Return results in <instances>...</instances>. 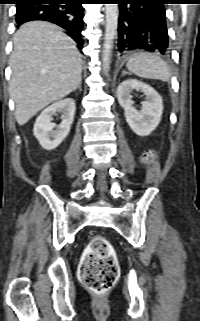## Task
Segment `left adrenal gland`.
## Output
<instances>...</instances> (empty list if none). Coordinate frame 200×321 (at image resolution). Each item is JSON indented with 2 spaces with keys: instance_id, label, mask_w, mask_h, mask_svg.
<instances>
[{
  "instance_id": "obj_1",
  "label": "left adrenal gland",
  "mask_w": 200,
  "mask_h": 321,
  "mask_svg": "<svg viewBox=\"0 0 200 321\" xmlns=\"http://www.w3.org/2000/svg\"><path fill=\"white\" fill-rule=\"evenodd\" d=\"M126 74H128V72H126V71H123V72H122V76H124V75H126Z\"/></svg>"
}]
</instances>
